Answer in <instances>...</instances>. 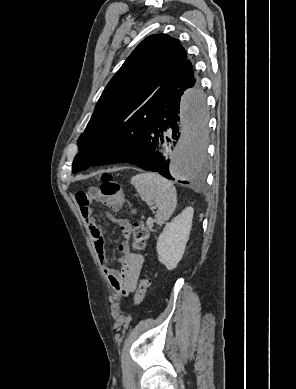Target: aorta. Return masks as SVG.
<instances>
[{
    "instance_id": "762f6f07",
    "label": "aorta",
    "mask_w": 296,
    "mask_h": 389,
    "mask_svg": "<svg viewBox=\"0 0 296 389\" xmlns=\"http://www.w3.org/2000/svg\"><path fill=\"white\" fill-rule=\"evenodd\" d=\"M191 91H181L179 142L170 157V173L177 179L193 178L199 173L203 162H208V133L206 129L207 94L196 91L192 83Z\"/></svg>"
}]
</instances>
